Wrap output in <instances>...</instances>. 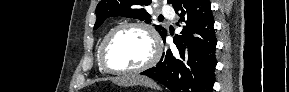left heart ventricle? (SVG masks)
Listing matches in <instances>:
<instances>
[{"mask_svg": "<svg viewBox=\"0 0 289 92\" xmlns=\"http://www.w3.org/2000/svg\"><path fill=\"white\" fill-rule=\"evenodd\" d=\"M153 51L148 34L140 28H126L110 43L107 61L117 69H131L144 64Z\"/></svg>", "mask_w": 289, "mask_h": 92, "instance_id": "b2bd125f", "label": "left heart ventricle"}]
</instances>
